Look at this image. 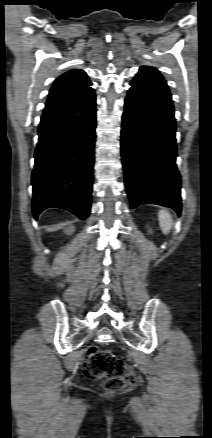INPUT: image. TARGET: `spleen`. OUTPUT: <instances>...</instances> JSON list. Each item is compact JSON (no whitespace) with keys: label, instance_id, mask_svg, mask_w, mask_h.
<instances>
[{"label":"spleen","instance_id":"1","mask_svg":"<svg viewBox=\"0 0 212 438\" xmlns=\"http://www.w3.org/2000/svg\"><path fill=\"white\" fill-rule=\"evenodd\" d=\"M158 218H159V225L162 229V232L164 234H168L171 230L172 227V220H171V216L168 212H166L165 210H160L159 214H158Z\"/></svg>","mask_w":212,"mask_h":438}]
</instances>
